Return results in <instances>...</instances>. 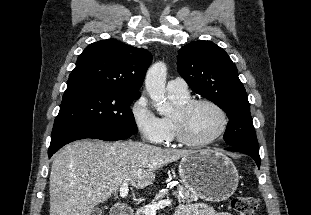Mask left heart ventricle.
<instances>
[{
    "instance_id": "1",
    "label": "left heart ventricle",
    "mask_w": 311,
    "mask_h": 215,
    "mask_svg": "<svg viewBox=\"0 0 311 215\" xmlns=\"http://www.w3.org/2000/svg\"><path fill=\"white\" fill-rule=\"evenodd\" d=\"M221 126V116L212 106L201 104L192 109L187 118V131L196 141L213 136Z\"/></svg>"
}]
</instances>
